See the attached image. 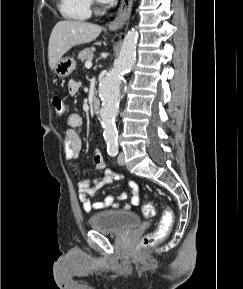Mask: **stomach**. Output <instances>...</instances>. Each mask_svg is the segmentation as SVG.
<instances>
[{
    "mask_svg": "<svg viewBox=\"0 0 243 289\" xmlns=\"http://www.w3.org/2000/svg\"><path fill=\"white\" fill-rule=\"evenodd\" d=\"M76 68V61L72 57H65L58 61L54 69L55 74L59 77H67Z\"/></svg>",
    "mask_w": 243,
    "mask_h": 289,
    "instance_id": "1",
    "label": "stomach"
}]
</instances>
